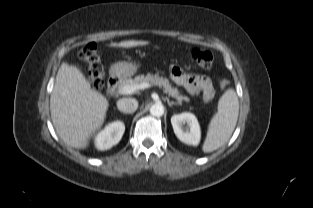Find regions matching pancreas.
<instances>
[{"instance_id":"cf45deb5","label":"pancreas","mask_w":313,"mask_h":208,"mask_svg":"<svg viewBox=\"0 0 313 208\" xmlns=\"http://www.w3.org/2000/svg\"><path fill=\"white\" fill-rule=\"evenodd\" d=\"M144 82L162 87L164 93H167L169 96L177 99L179 103H181L183 100L186 102L190 101L188 97L181 95L177 88H173L167 78L159 77L158 74H147L146 76L138 75L134 79L125 78L119 83L118 90L120 91L121 88L126 85H138Z\"/></svg>"}]
</instances>
